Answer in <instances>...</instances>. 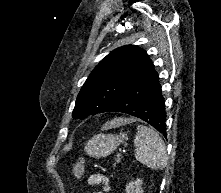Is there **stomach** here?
Returning <instances> with one entry per match:
<instances>
[{
	"label": "stomach",
	"instance_id": "stomach-1",
	"mask_svg": "<svg viewBox=\"0 0 221 193\" xmlns=\"http://www.w3.org/2000/svg\"><path fill=\"white\" fill-rule=\"evenodd\" d=\"M124 140H127V135L124 133L116 136L113 134H98L87 142L84 150L92 157H105L113 153Z\"/></svg>",
	"mask_w": 221,
	"mask_h": 193
}]
</instances>
